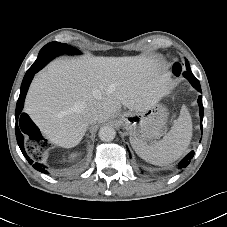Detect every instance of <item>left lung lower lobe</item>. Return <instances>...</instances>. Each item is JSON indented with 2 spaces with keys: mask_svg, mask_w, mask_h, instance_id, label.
<instances>
[{
  "mask_svg": "<svg viewBox=\"0 0 227 227\" xmlns=\"http://www.w3.org/2000/svg\"><path fill=\"white\" fill-rule=\"evenodd\" d=\"M196 89L201 92V87H196ZM198 105H199V108H200V126H201V130H202V120H203V114H204V111H203V104H202V96H200L198 98ZM194 156V151H191L179 164V168H185L186 166L189 165L190 163V160L193 158Z\"/></svg>",
  "mask_w": 227,
  "mask_h": 227,
  "instance_id": "obj_1",
  "label": "left lung lower lobe"
}]
</instances>
